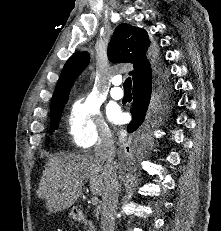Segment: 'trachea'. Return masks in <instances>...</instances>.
Segmentation results:
<instances>
[{"instance_id": "trachea-1", "label": "trachea", "mask_w": 221, "mask_h": 231, "mask_svg": "<svg viewBox=\"0 0 221 231\" xmlns=\"http://www.w3.org/2000/svg\"><path fill=\"white\" fill-rule=\"evenodd\" d=\"M131 86H132V81H131V78L128 77V78L124 81V84H123L124 90H125V91H131Z\"/></svg>"}]
</instances>
